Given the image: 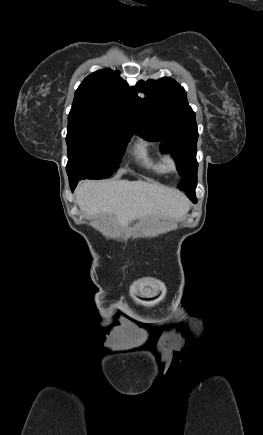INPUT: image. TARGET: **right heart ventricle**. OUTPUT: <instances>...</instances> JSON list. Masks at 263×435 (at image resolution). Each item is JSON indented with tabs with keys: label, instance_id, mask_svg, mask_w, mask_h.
<instances>
[{
	"label": "right heart ventricle",
	"instance_id": "right-heart-ventricle-1",
	"mask_svg": "<svg viewBox=\"0 0 263 435\" xmlns=\"http://www.w3.org/2000/svg\"><path fill=\"white\" fill-rule=\"evenodd\" d=\"M135 156L140 164L156 174H165L168 171L166 160L160 155L152 153L148 142L141 141L135 147Z\"/></svg>",
	"mask_w": 263,
	"mask_h": 435
}]
</instances>
